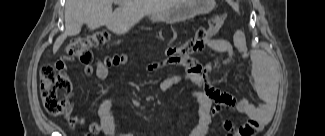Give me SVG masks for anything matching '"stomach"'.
<instances>
[{
    "instance_id": "1",
    "label": "stomach",
    "mask_w": 325,
    "mask_h": 136,
    "mask_svg": "<svg viewBox=\"0 0 325 136\" xmlns=\"http://www.w3.org/2000/svg\"><path fill=\"white\" fill-rule=\"evenodd\" d=\"M215 5V0H180L173 8L162 13L152 15L153 21H165L176 23L191 18L197 14H204L211 11Z\"/></svg>"
}]
</instances>
